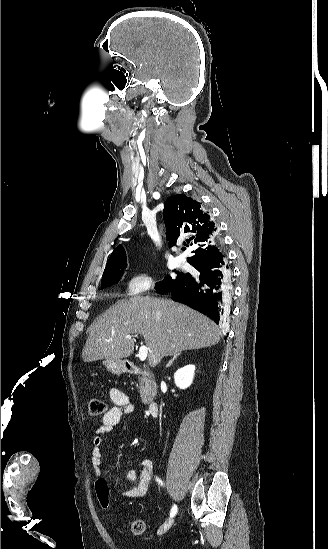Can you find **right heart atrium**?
Here are the masks:
<instances>
[{
	"mask_svg": "<svg viewBox=\"0 0 328 549\" xmlns=\"http://www.w3.org/2000/svg\"><path fill=\"white\" fill-rule=\"evenodd\" d=\"M151 240V237H148ZM154 287L152 266L144 264L127 272L123 281L125 303H139L142 296Z\"/></svg>",
	"mask_w": 328,
	"mask_h": 549,
	"instance_id": "1",
	"label": "right heart atrium"
}]
</instances>
